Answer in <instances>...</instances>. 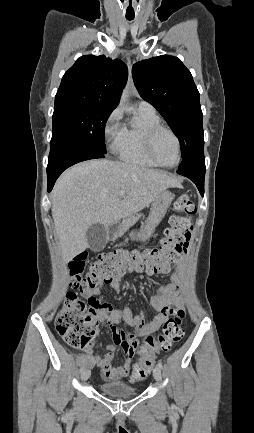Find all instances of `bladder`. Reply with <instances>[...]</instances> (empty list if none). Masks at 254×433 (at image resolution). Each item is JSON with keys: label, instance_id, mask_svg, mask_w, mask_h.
<instances>
[{"label": "bladder", "instance_id": "obj_1", "mask_svg": "<svg viewBox=\"0 0 254 433\" xmlns=\"http://www.w3.org/2000/svg\"><path fill=\"white\" fill-rule=\"evenodd\" d=\"M98 389L102 394L114 398L133 397L138 394V388L124 382L100 383Z\"/></svg>", "mask_w": 254, "mask_h": 433}]
</instances>
